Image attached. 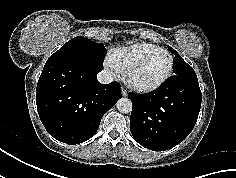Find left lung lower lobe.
Masks as SVG:
<instances>
[{
  "mask_svg": "<svg viewBox=\"0 0 236 178\" xmlns=\"http://www.w3.org/2000/svg\"><path fill=\"white\" fill-rule=\"evenodd\" d=\"M133 109L130 130L134 139L153 151L171 149L192 131L201 107L197 76H173L158 90L129 93Z\"/></svg>",
  "mask_w": 236,
  "mask_h": 178,
  "instance_id": "0a47b994",
  "label": "left lung lower lobe"
}]
</instances>
